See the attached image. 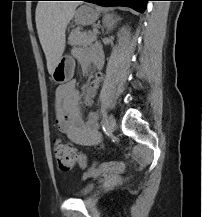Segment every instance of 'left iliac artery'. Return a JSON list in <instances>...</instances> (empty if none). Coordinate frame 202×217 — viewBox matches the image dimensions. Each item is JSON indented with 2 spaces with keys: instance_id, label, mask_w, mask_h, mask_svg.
<instances>
[{
  "instance_id": "obj_1",
  "label": "left iliac artery",
  "mask_w": 202,
  "mask_h": 217,
  "mask_svg": "<svg viewBox=\"0 0 202 217\" xmlns=\"http://www.w3.org/2000/svg\"><path fill=\"white\" fill-rule=\"evenodd\" d=\"M102 116H103V118H102L100 123H101L103 131H106V127H105L106 112L104 110L102 111Z\"/></svg>"
}]
</instances>
